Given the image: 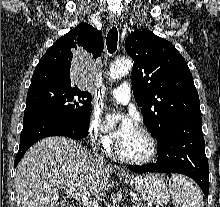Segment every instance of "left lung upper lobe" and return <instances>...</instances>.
I'll return each instance as SVG.
<instances>
[{
  "label": "left lung upper lobe",
  "mask_w": 220,
  "mask_h": 207,
  "mask_svg": "<svg viewBox=\"0 0 220 207\" xmlns=\"http://www.w3.org/2000/svg\"><path fill=\"white\" fill-rule=\"evenodd\" d=\"M125 50L134 60L133 94L157 141L175 123L201 116L191 72L171 42L149 30L138 29L126 39Z\"/></svg>",
  "instance_id": "left-lung-upper-lobe-1"
}]
</instances>
